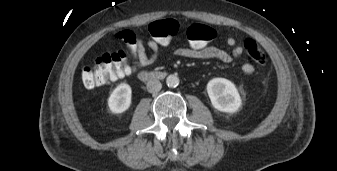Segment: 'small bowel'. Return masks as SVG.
Here are the masks:
<instances>
[{
	"label": "small bowel",
	"mask_w": 337,
	"mask_h": 171,
	"mask_svg": "<svg viewBox=\"0 0 337 171\" xmlns=\"http://www.w3.org/2000/svg\"><path fill=\"white\" fill-rule=\"evenodd\" d=\"M118 38L124 40L130 55L133 57L136 68L147 67L154 64L160 54L161 46L155 40H148L146 44L133 33L122 31L117 34ZM226 44L232 48L226 51L216 46L206 47H181L176 49L175 54L179 57L198 59V60H219L222 62H230L243 54V47L237 45L234 37H228ZM147 48L150 52H147ZM242 73L250 76L255 72V67L251 63L242 65Z\"/></svg>",
	"instance_id": "obj_1"
}]
</instances>
